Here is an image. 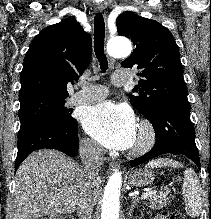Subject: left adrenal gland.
Instances as JSON below:
<instances>
[{"mask_svg": "<svg viewBox=\"0 0 211 219\" xmlns=\"http://www.w3.org/2000/svg\"><path fill=\"white\" fill-rule=\"evenodd\" d=\"M137 202H138V200L136 198H133V200L131 202V206H130L129 211H128V217L132 216V213L134 211L135 206L137 205Z\"/></svg>", "mask_w": 211, "mask_h": 219, "instance_id": "a2214340", "label": "left adrenal gland"}]
</instances>
